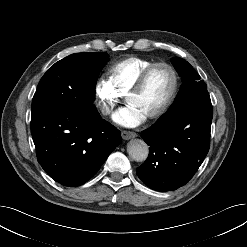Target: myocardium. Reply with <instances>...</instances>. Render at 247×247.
<instances>
[{"label": "myocardium", "mask_w": 247, "mask_h": 247, "mask_svg": "<svg viewBox=\"0 0 247 247\" xmlns=\"http://www.w3.org/2000/svg\"><path fill=\"white\" fill-rule=\"evenodd\" d=\"M157 67H165L167 68L171 75H172V87L170 90V93L168 97L166 98L165 102L162 104V106L155 111L154 113L147 116V119L149 120H155L160 118L165 112L169 109V107L172 105L177 92L179 88V77L176 69L169 63L166 62H155L146 67L141 74L139 75L138 79L136 80L135 84L132 86V88L128 91L126 94V101L129 97L136 95L142 91L144 88L146 81L151 74V72L156 69Z\"/></svg>", "instance_id": "obj_1"}]
</instances>
